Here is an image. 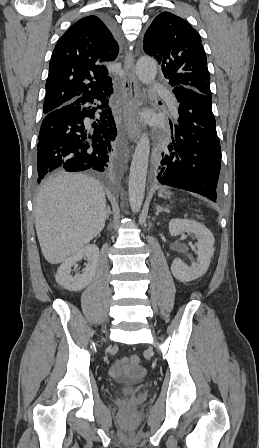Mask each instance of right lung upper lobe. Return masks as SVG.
<instances>
[{"mask_svg": "<svg viewBox=\"0 0 259 448\" xmlns=\"http://www.w3.org/2000/svg\"><path fill=\"white\" fill-rule=\"evenodd\" d=\"M118 51L112 31L97 16L74 23L53 50L43 112L112 88L107 65L116 59Z\"/></svg>", "mask_w": 259, "mask_h": 448, "instance_id": "right-lung-upper-lobe-1", "label": "right lung upper lobe"}]
</instances>
